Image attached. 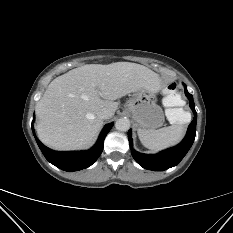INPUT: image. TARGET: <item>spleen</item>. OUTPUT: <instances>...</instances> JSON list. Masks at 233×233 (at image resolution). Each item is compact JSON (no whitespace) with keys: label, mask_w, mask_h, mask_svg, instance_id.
<instances>
[{"label":"spleen","mask_w":233,"mask_h":233,"mask_svg":"<svg viewBox=\"0 0 233 233\" xmlns=\"http://www.w3.org/2000/svg\"><path fill=\"white\" fill-rule=\"evenodd\" d=\"M178 102V99L171 97L163 99V104L167 107L165 114L171 126L158 130L138 129L139 139L146 148L158 151L181 141L184 135L183 125L190 121L191 115L182 108H173Z\"/></svg>","instance_id":"spleen-1"}]
</instances>
